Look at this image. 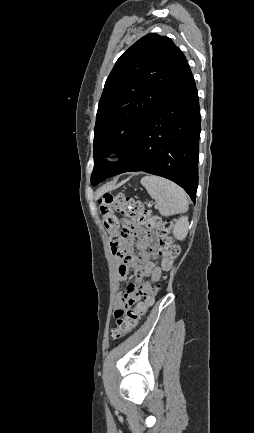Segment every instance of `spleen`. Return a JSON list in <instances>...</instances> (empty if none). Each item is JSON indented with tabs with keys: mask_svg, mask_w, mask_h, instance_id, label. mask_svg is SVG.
<instances>
[{
	"mask_svg": "<svg viewBox=\"0 0 254 433\" xmlns=\"http://www.w3.org/2000/svg\"><path fill=\"white\" fill-rule=\"evenodd\" d=\"M141 185L156 201L157 209L162 216H171L188 210L187 195L175 183L162 177L147 175L141 179Z\"/></svg>",
	"mask_w": 254,
	"mask_h": 433,
	"instance_id": "3e777b00",
	"label": "spleen"
}]
</instances>
